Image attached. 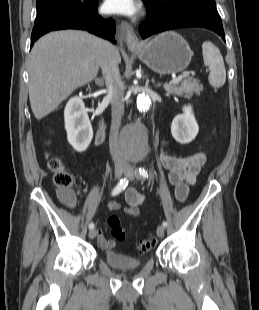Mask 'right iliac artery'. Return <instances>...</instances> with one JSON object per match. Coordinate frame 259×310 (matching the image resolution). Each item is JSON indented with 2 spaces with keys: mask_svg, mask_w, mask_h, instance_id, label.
Listing matches in <instances>:
<instances>
[{
  "mask_svg": "<svg viewBox=\"0 0 259 310\" xmlns=\"http://www.w3.org/2000/svg\"><path fill=\"white\" fill-rule=\"evenodd\" d=\"M128 185V180L126 178L121 179L117 185L115 186V188L112 191V195H117L119 194L121 191H123L126 186ZM94 228V224L90 223L89 224V229H93Z\"/></svg>",
  "mask_w": 259,
  "mask_h": 310,
  "instance_id": "82829eb1",
  "label": "right iliac artery"
}]
</instances>
